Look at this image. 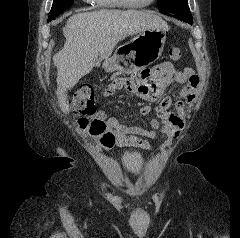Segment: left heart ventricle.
<instances>
[{
	"mask_svg": "<svg viewBox=\"0 0 240 238\" xmlns=\"http://www.w3.org/2000/svg\"><path fill=\"white\" fill-rule=\"evenodd\" d=\"M130 1H134V2H136V1H138V2H146V1H148V0H130Z\"/></svg>",
	"mask_w": 240,
	"mask_h": 238,
	"instance_id": "obj_1",
	"label": "left heart ventricle"
}]
</instances>
